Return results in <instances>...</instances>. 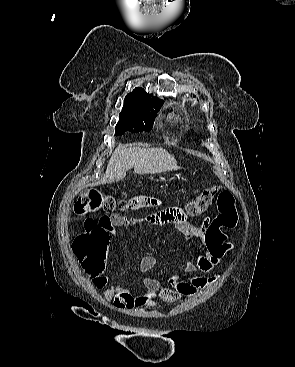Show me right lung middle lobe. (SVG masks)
Instances as JSON below:
<instances>
[{"mask_svg":"<svg viewBox=\"0 0 295 367\" xmlns=\"http://www.w3.org/2000/svg\"><path fill=\"white\" fill-rule=\"evenodd\" d=\"M161 105L139 104L129 111L121 112L119 122L116 125L115 135H122L126 131L132 133L150 131Z\"/></svg>","mask_w":295,"mask_h":367,"instance_id":"obj_1","label":"right lung middle lobe"}]
</instances>
